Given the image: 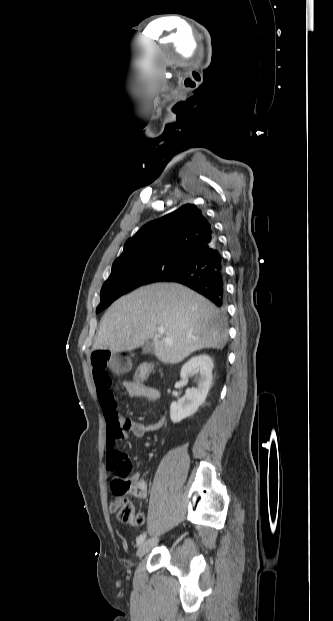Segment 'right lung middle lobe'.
Instances as JSON below:
<instances>
[{
    "instance_id": "right-lung-middle-lobe-1",
    "label": "right lung middle lobe",
    "mask_w": 333,
    "mask_h": 621,
    "mask_svg": "<svg viewBox=\"0 0 333 621\" xmlns=\"http://www.w3.org/2000/svg\"><path fill=\"white\" fill-rule=\"evenodd\" d=\"M184 260L181 257H159L114 263L111 275L101 289V302L96 312L104 310L118 297L139 286L158 282L172 275Z\"/></svg>"
}]
</instances>
